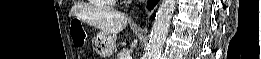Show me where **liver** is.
<instances>
[{"instance_id":"1","label":"liver","mask_w":261,"mask_h":59,"mask_svg":"<svg viewBox=\"0 0 261 59\" xmlns=\"http://www.w3.org/2000/svg\"><path fill=\"white\" fill-rule=\"evenodd\" d=\"M87 22L99 28L103 34L116 35L125 29L128 18L125 14L116 11H103L85 18Z\"/></svg>"}]
</instances>
